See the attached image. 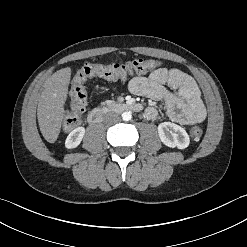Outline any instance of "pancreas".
<instances>
[{
  "instance_id": "cf45deb5",
  "label": "pancreas",
  "mask_w": 247,
  "mask_h": 247,
  "mask_svg": "<svg viewBox=\"0 0 247 247\" xmlns=\"http://www.w3.org/2000/svg\"><path fill=\"white\" fill-rule=\"evenodd\" d=\"M106 103H107V104H110V103H112V101H107Z\"/></svg>"
}]
</instances>
